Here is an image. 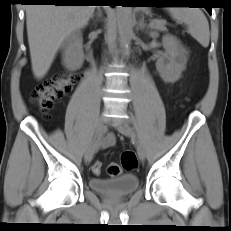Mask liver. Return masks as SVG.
<instances>
[{
	"label": "liver",
	"mask_w": 231,
	"mask_h": 231,
	"mask_svg": "<svg viewBox=\"0 0 231 231\" xmlns=\"http://www.w3.org/2000/svg\"><path fill=\"white\" fill-rule=\"evenodd\" d=\"M96 6L28 5L26 26L32 71L42 79L63 44L75 31L84 28Z\"/></svg>",
	"instance_id": "6515ba94"
}]
</instances>
